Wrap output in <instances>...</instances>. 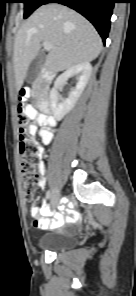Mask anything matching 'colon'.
<instances>
[{"label":"colon","mask_w":136,"mask_h":296,"mask_svg":"<svg viewBox=\"0 0 136 296\" xmlns=\"http://www.w3.org/2000/svg\"><path fill=\"white\" fill-rule=\"evenodd\" d=\"M29 90H23L22 96L28 95ZM31 107L27 104L19 105V152H20V172L22 176V191L24 199L29 206H33L35 201L36 185L39 181L37 170L38 147L34 142L33 130L35 125L28 116ZM33 209V208H32Z\"/></svg>","instance_id":"colon-1"}]
</instances>
